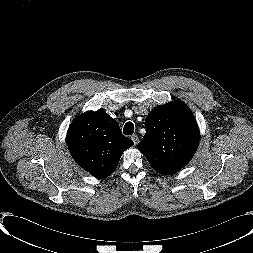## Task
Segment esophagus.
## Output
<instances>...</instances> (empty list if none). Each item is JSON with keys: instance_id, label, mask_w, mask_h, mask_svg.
Segmentation results:
<instances>
[{"instance_id": "esophagus-1", "label": "esophagus", "mask_w": 253, "mask_h": 253, "mask_svg": "<svg viewBox=\"0 0 253 253\" xmlns=\"http://www.w3.org/2000/svg\"><path fill=\"white\" fill-rule=\"evenodd\" d=\"M131 139L133 140L134 145H137V143L139 142V137H138L137 134H133V135L131 136Z\"/></svg>"}]
</instances>
